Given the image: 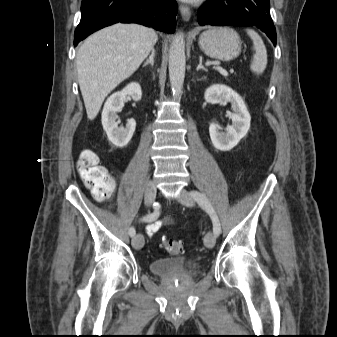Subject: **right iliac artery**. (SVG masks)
Segmentation results:
<instances>
[{"label": "right iliac artery", "mask_w": 337, "mask_h": 337, "mask_svg": "<svg viewBox=\"0 0 337 337\" xmlns=\"http://www.w3.org/2000/svg\"><path fill=\"white\" fill-rule=\"evenodd\" d=\"M153 207H154V211L152 213L147 214L143 218H141V221L152 222V221H154V220H156L158 218V216H159V204L155 202L153 204ZM135 234H136L135 228L131 227L129 229V235L131 237H133Z\"/></svg>", "instance_id": "1"}]
</instances>
